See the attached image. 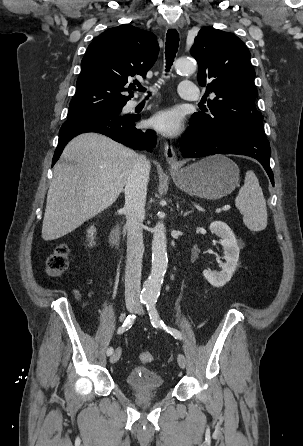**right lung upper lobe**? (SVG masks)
<instances>
[{"label": "right lung upper lobe", "instance_id": "1", "mask_svg": "<svg viewBox=\"0 0 303 446\" xmlns=\"http://www.w3.org/2000/svg\"><path fill=\"white\" fill-rule=\"evenodd\" d=\"M159 46L151 32L130 24L110 28L89 45L81 62L75 98L71 107L85 112L100 107L126 104L134 84H126L139 74L145 77L158 56Z\"/></svg>", "mask_w": 303, "mask_h": 446}]
</instances>
